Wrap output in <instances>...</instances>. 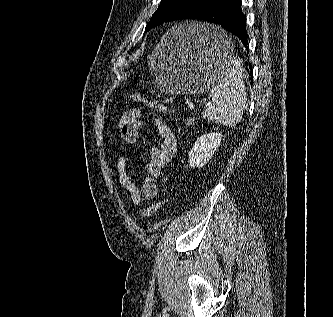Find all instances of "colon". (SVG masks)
Listing matches in <instances>:
<instances>
[{"mask_svg":"<svg viewBox=\"0 0 333 317\" xmlns=\"http://www.w3.org/2000/svg\"><path fill=\"white\" fill-rule=\"evenodd\" d=\"M131 99L137 103L143 104L145 106H148L152 109L165 112V113H171V112H176L174 109H171L155 100H151L147 98L146 96L140 94V93H133L130 95ZM184 123L186 124L187 127H192L194 124V119L186 115L184 117ZM166 198L163 197L156 202L152 203L149 205L143 212V216L146 219H150L154 216V214L158 211V209L165 203Z\"/></svg>","mask_w":333,"mask_h":317,"instance_id":"1","label":"colon"}]
</instances>
